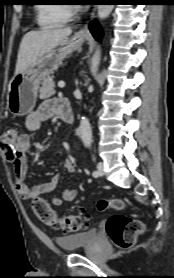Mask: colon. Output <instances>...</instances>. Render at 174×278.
Here are the masks:
<instances>
[{
	"label": "colon",
	"mask_w": 174,
	"mask_h": 278,
	"mask_svg": "<svg viewBox=\"0 0 174 278\" xmlns=\"http://www.w3.org/2000/svg\"><path fill=\"white\" fill-rule=\"evenodd\" d=\"M16 136L17 132L11 130L0 137V150L9 161H12L15 157L13 141ZM124 207L125 202L118 198L104 199L98 202V209L100 211L108 209L122 210ZM32 208L41 222L55 229H60L65 232H75L88 225V215L85 212L82 211L71 215H58L41 197L33 199ZM143 230L144 225L141 221L123 214L112 215L106 222L107 234L119 248L133 246L138 235Z\"/></svg>",
	"instance_id": "5ec220e1"
}]
</instances>
